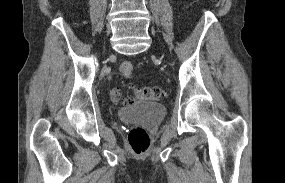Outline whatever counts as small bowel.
I'll return each instance as SVG.
<instances>
[{
	"label": "small bowel",
	"instance_id": "1",
	"mask_svg": "<svg viewBox=\"0 0 285 183\" xmlns=\"http://www.w3.org/2000/svg\"><path fill=\"white\" fill-rule=\"evenodd\" d=\"M110 95L113 101H119L121 98V93L118 88H112L110 91Z\"/></svg>",
	"mask_w": 285,
	"mask_h": 183
}]
</instances>
